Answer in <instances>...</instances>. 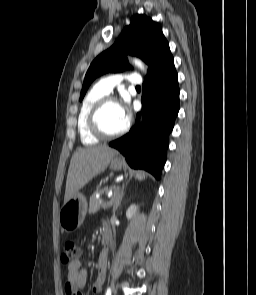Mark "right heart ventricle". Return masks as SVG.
Instances as JSON below:
<instances>
[{"label":"right heart ventricle","instance_id":"right-heart-ventricle-1","mask_svg":"<svg viewBox=\"0 0 256 295\" xmlns=\"http://www.w3.org/2000/svg\"><path fill=\"white\" fill-rule=\"evenodd\" d=\"M105 94L97 86L93 87L84 97L79 115H78V132L80 139L85 145H94L99 142V138L94 136L88 129L87 119L89 112L93 105L101 98L105 97Z\"/></svg>","mask_w":256,"mask_h":295}]
</instances>
